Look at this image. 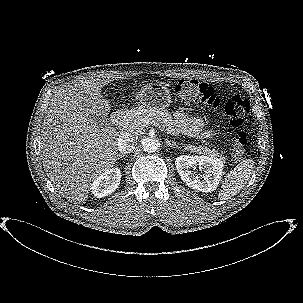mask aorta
<instances>
[{
  "label": "aorta",
  "instance_id": "obj_1",
  "mask_svg": "<svg viewBox=\"0 0 303 303\" xmlns=\"http://www.w3.org/2000/svg\"><path fill=\"white\" fill-rule=\"evenodd\" d=\"M158 141L155 138L147 137L142 140V148L145 152L153 153L158 149Z\"/></svg>",
  "mask_w": 303,
  "mask_h": 303
}]
</instances>
